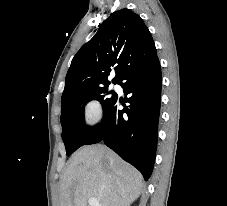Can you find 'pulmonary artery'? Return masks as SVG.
Returning a JSON list of instances; mask_svg holds the SVG:
<instances>
[{
    "mask_svg": "<svg viewBox=\"0 0 227 206\" xmlns=\"http://www.w3.org/2000/svg\"><path fill=\"white\" fill-rule=\"evenodd\" d=\"M114 88H115V89H118V88H119V86H118V85H114Z\"/></svg>",
    "mask_w": 227,
    "mask_h": 206,
    "instance_id": "1",
    "label": "pulmonary artery"
}]
</instances>
